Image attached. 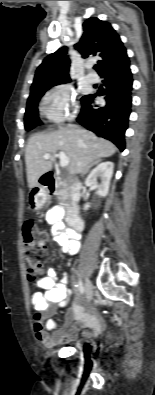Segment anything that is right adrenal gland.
I'll use <instances>...</instances> for the list:
<instances>
[{
	"label": "right adrenal gland",
	"mask_w": 155,
	"mask_h": 395,
	"mask_svg": "<svg viewBox=\"0 0 155 395\" xmlns=\"http://www.w3.org/2000/svg\"><path fill=\"white\" fill-rule=\"evenodd\" d=\"M86 173H87V171L83 172V173H82V176H83L84 174H86Z\"/></svg>",
	"instance_id": "2a0ac1e0"
}]
</instances>
